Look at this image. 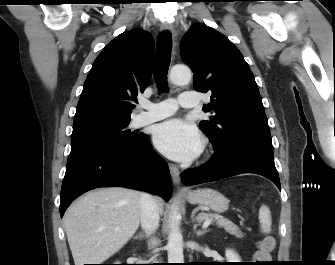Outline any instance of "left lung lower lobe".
Here are the masks:
<instances>
[{"instance_id":"left-lung-lower-lobe-1","label":"left lung lower lobe","mask_w":335,"mask_h":265,"mask_svg":"<svg viewBox=\"0 0 335 265\" xmlns=\"http://www.w3.org/2000/svg\"><path fill=\"white\" fill-rule=\"evenodd\" d=\"M214 150L215 155L207 164L182 173L184 185L211 182L242 173H255L270 179L281 190L272 148L252 142H234Z\"/></svg>"}]
</instances>
